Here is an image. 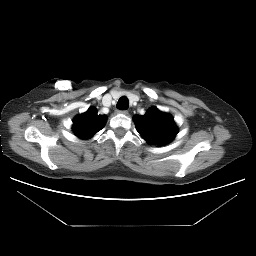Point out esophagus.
<instances>
[{"instance_id":"34e87169","label":"esophagus","mask_w":256,"mask_h":256,"mask_svg":"<svg viewBox=\"0 0 256 256\" xmlns=\"http://www.w3.org/2000/svg\"><path fill=\"white\" fill-rule=\"evenodd\" d=\"M117 113L127 115L128 111L127 110H121V111H117Z\"/></svg>"}]
</instances>
